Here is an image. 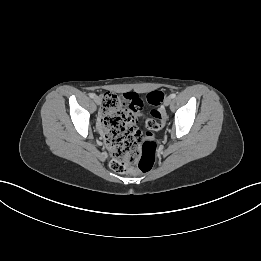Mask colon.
<instances>
[{"mask_svg":"<svg viewBox=\"0 0 261 261\" xmlns=\"http://www.w3.org/2000/svg\"><path fill=\"white\" fill-rule=\"evenodd\" d=\"M102 132L110 151V166L117 173H125L132 168L141 172L151 170L154 165L157 143L154 131H161L168 124L166 110L158 107L141 116L146 123L145 138L136 128L129 111L138 115L144 103L158 106L164 94L161 91L149 92L144 98L137 94L126 97L127 109H123L122 100L114 93L102 94Z\"/></svg>","mask_w":261,"mask_h":261,"instance_id":"colon-1","label":"colon"}]
</instances>
